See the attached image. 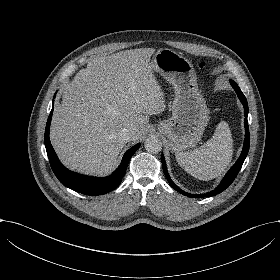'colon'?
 Returning a JSON list of instances; mask_svg holds the SVG:
<instances>
[{
    "label": "colon",
    "instance_id": "1",
    "mask_svg": "<svg viewBox=\"0 0 280 280\" xmlns=\"http://www.w3.org/2000/svg\"><path fill=\"white\" fill-rule=\"evenodd\" d=\"M204 65V63H199V67H203Z\"/></svg>",
    "mask_w": 280,
    "mask_h": 280
}]
</instances>
